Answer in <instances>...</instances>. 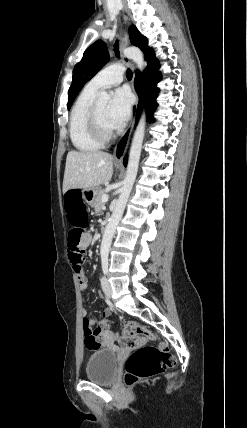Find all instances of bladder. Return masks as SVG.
I'll return each mask as SVG.
<instances>
[{"label":"bladder","mask_w":247,"mask_h":428,"mask_svg":"<svg viewBox=\"0 0 247 428\" xmlns=\"http://www.w3.org/2000/svg\"><path fill=\"white\" fill-rule=\"evenodd\" d=\"M118 372V356L111 348L94 351L88 358L85 375L87 380L108 385L114 382Z\"/></svg>","instance_id":"1"}]
</instances>
